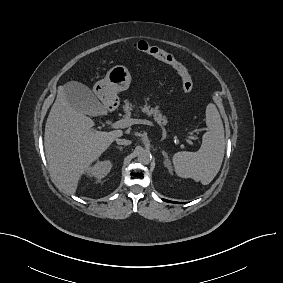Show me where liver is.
Returning <instances> with one entry per match:
<instances>
[{
    "label": "liver",
    "instance_id": "liver-1",
    "mask_svg": "<svg viewBox=\"0 0 283 283\" xmlns=\"http://www.w3.org/2000/svg\"><path fill=\"white\" fill-rule=\"evenodd\" d=\"M93 126L91 118L69 105L61 87L47 118L44 146L50 171L67 194H75L84 172L123 135L122 130L104 132Z\"/></svg>",
    "mask_w": 283,
    "mask_h": 283
}]
</instances>
